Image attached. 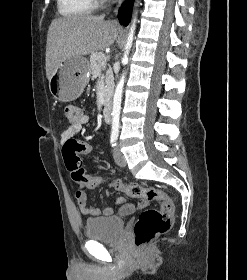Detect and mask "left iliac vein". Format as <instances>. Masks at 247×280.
Wrapping results in <instances>:
<instances>
[{
	"instance_id": "1",
	"label": "left iliac vein",
	"mask_w": 247,
	"mask_h": 280,
	"mask_svg": "<svg viewBox=\"0 0 247 280\" xmlns=\"http://www.w3.org/2000/svg\"><path fill=\"white\" fill-rule=\"evenodd\" d=\"M113 157L115 162L121 166L125 167L126 166V160L124 155L121 153L119 146L117 145L113 151Z\"/></svg>"
}]
</instances>
